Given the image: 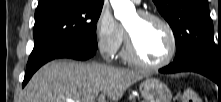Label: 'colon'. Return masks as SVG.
I'll use <instances>...</instances> for the list:
<instances>
[{"mask_svg": "<svg viewBox=\"0 0 221 102\" xmlns=\"http://www.w3.org/2000/svg\"><path fill=\"white\" fill-rule=\"evenodd\" d=\"M182 102H202L200 95L193 89H186L182 93Z\"/></svg>", "mask_w": 221, "mask_h": 102, "instance_id": "1", "label": "colon"}]
</instances>
